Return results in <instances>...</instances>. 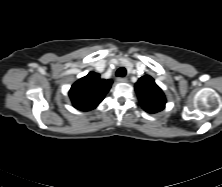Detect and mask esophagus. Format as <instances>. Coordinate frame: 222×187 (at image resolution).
<instances>
[{"instance_id":"obj_1","label":"esophagus","mask_w":222,"mask_h":187,"mask_svg":"<svg viewBox=\"0 0 222 187\" xmlns=\"http://www.w3.org/2000/svg\"><path fill=\"white\" fill-rule=\"evenodd\" d=\"M117 81L120 82V83H124V82H127L128 79L125 78V77H119V78H117Z\"/></svg>"}]
</instances>
